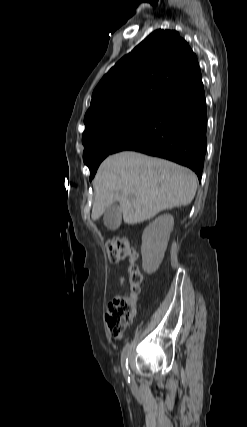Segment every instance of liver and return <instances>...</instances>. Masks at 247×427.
Here are the masks:
<instances>
[{"mask_svg":"<svg viewBox=\"0 0 247 427\" xmlns=\"http://www.w3.org/2000/svg\"><path fill=\"white\" fill-rule=\"evenodd\" d=\"M95 221L113 202L120 203L126 224L149 220L159 212L189 205L197 177L188 168L134 151L107 157L93 180Z\"/></svg>","mask_w":247,"mask_h":427,"instance_id":"1","label":"liver"}]
</instances>
